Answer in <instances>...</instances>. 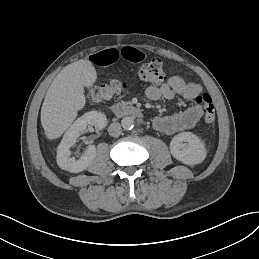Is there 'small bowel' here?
<instances>
[{"label": "small bowel", "instance_id": "1", "mask_svg": "<svg viewBox=\"0 0 259 259\" xmlns=\"http://www.w3.org/2000/svg\"><path fill=\"white\" fill-rule=\"evenodd\" d=\"M145 57L146 54L144 51L126 46L120 50L106 49L97 52L90 57V60L96 66H107L115 63L120 58L131 62H139ZM200 94H202V88L199 84L186 82L180 76H170L160 86H150L146 90V96L154 101L162 98L173 99L176 96H180L184 100H196ZM203 114V106L196 104L180 113L155 117L153 126L157 131L171 135L193 128L202 118Z\"/></svg>", "mask_w": 259, "mask_h": 259}]
</instances>
